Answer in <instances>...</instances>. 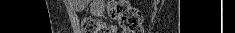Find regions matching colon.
Listing matches in <instances>:
<instances>
[{
	"label": "colon",
	"mask_w": 235,
	"mask_h": 33,
	"mask_svg": "<svg viewBox=\"0 0 235 33\" xmlns=\"http://www.w3.org/2000/svg\"><path fill=\"white\" fill-rule=\"evenodd\" d=\"M109 17L116 20L122 33H143L140 12L128 5L124 0H110L107 5ZM84 33H115V27L107 25L93 18L82 21Z\"/></svg>",
	"instance_id": "colon-1"
}]
</instances>
